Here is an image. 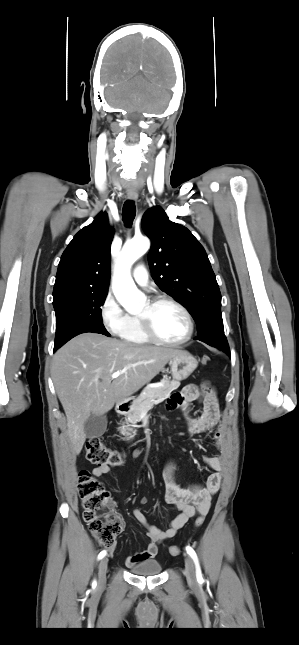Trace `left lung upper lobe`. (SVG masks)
Segmentation results:
<instances>
[{
	"label": "left lung upper lobe",
	"mask_w": 299,
	"mask_h": 645,
	"mask_svg": "<svg viewBox=\"0 0 299 645\" xmlns=\"http://www.w3.org/2000/svg\"><path fill=\"white\" fill-rule=\"evenodd\" d=\"M142 228L151 239L148 261L155 283L186 306L194 318L195 338L220 348L227 343L221 316V293L208 256L184 226L171 222L156 206L142 218Z\"/></svg>",
	"instance_id": "obj_1"
}]
</instances>
